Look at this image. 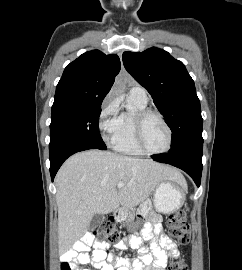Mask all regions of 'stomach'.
<instances>
[{
	"label": "stomach",
	"instance_id": "stomach-1",
	"mask_svg": "<svg viewBox=\"0 0 242 270\" xmlns=\"http://www.w3.org/2000/svg\"><path fill=\"white\" fill-rule=\"evenodd\" d=\"M186 184H180L175 181H163L159 183L155 189L153 203L157 211L169 214L177 211L184 203ZM126 211L122 210L118 213L124 221L130 222L125 218Z\"/></svg>",
	"mask_w": 242,
	"mask_h": 270
}]
</instances>
